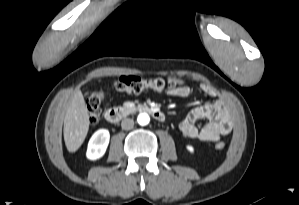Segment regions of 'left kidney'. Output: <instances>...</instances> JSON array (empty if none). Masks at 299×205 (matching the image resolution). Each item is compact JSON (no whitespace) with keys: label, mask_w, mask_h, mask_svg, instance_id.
I'll use <instances>...</instances> for the list:
<instances>
[{"label":"left kidney","mask_w":299,"mask_h":205,"mask_svg":"<svg viewBox=\"0 0 299 205\" xmlns=\"http://www.w3.org/2000/svg\"><path fill=\"white\" fill-rule=\"evenodd\" d=\"M187 149L189 152L193 153L194 152V148L190 145L187 146Z\"/></svg>","instance_id":"obj_1"}]
</instances>
